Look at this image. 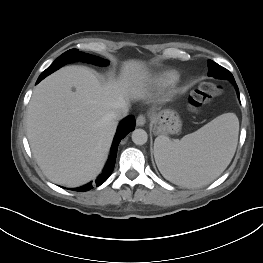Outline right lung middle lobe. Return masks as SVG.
Instances as JSON below:
<instances>
[{"mask_svg":"<svg viewBox=\"0 0 263 263\" xmlns=\"http://www.w3.org/2000/svg\"><path fill=\"white\" fill-rule=\"evenodd\" d=\"M81 60L87 63H91L94 65H107L108 61L101 59L99 57L89 55L86 53L79 52L77 49H71L63 53L59 58H57L51 65H65L71 61Z\"/></svg>","mask_w":263,"mask_h":263,"instance_id":"right-lung-middle-lobe-1","label":"right lung middle lobe"}]
</instances>
